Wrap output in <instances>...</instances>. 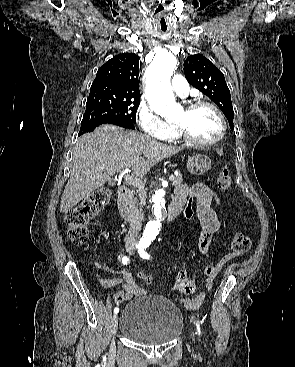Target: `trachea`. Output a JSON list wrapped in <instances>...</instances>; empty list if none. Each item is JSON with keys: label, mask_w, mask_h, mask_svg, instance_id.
<instances>
[{"label": "trachea", "mask_w": 295, "mask_h": 367, "mask_svg": "<svg viewBox=\"0 0 295 367\" xmlns=\"http://www.w3.org/2000/svg\"><path fill=\"white\" fill-rule=\"evenodd\" d=\"M161 30L165 32L167 30V28L161 26Z\"/></svg>", "instance_id": "obj_1"}]
</instances>
